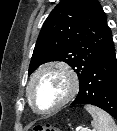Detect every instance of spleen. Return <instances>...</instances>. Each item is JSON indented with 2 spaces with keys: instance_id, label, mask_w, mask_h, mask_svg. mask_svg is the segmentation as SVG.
Listing matches in <instances>:
<instances>
[{
  "instance_id": "1",
  "label": "spleen",
  "mask_w": 117,
  "mask_h": 131,
  "mask_svg": "<svg viewBox=\"0 0 117 131\" xmlns=\"http://www.w3.org/2000/svg\"><path fill=\"white\" fill-rule=\"evenodd\" d=\"M85 109L93 118V131H117L114 119L107 112L92 105H85Z\"/></svg>"
}]
</instances>
